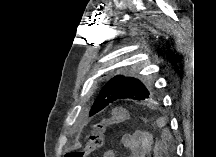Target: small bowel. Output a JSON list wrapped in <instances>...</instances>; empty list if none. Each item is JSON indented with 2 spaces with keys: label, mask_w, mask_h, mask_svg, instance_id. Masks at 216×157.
<instances>
[{
  "label": "small bowel",
  "mask_w": 216,
  "mask_h": 157,
  "mask_svg": "<svg viewBox=\"0 0 216 157\" xmlns=\"http://www.w3.org/2000/svg\"><path fill=\"white\" fill-rule=\"evenodd\" d=\"M120 145L130 151L131 157H149L153 149V135L147 131H138L133 134L123 135L119 140ZM103 157H115L114 149H107Z\"/></svg>",
  "instance_id": "obj_1"
}]
</instances>
